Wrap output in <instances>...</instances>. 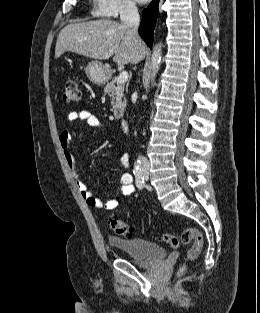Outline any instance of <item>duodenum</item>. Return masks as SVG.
<instances>
[{
  "label": "duodenum",
  "instance_id": "duodenum-1",
  "mask_svg": "<svg viewBox=\"0 0 260 313\" xmlns=\"http://www.w3.org/2000/svg\"><path fill=\"white\" fill-rule=\"evenodd\" d=\"M121 126H122V129H123L124 132L127 133L129 131V122H128V120H126V119L122 120Z\"/></svg>",
  "mask_w": 260,
  "mask_h": 313
}]
</instances>
